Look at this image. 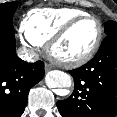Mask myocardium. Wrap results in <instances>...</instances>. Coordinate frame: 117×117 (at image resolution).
Instances as JSON below:
<instances>
[{
	"label": "myocardium",
	"mask_w": 117,
	"mask_h": 117,
	"mask_svg": "<svg viewBox=\"0 0 117 117\" xmlns=\"http://www.w3.org/2000/svg\"><path fill=\"white\" fill-rule=\"evenodd\" d=\"M94 20L98 26V33L94 44L90 50L77 58H64L56 53L58 44L71 32V30L84 20ZM103 39V25L101 21L93 15H82L75 17L63 25L47 42L46 51L50 59L59 66L79 67L89 62L98 52Z\"/></svg>",
	"instance_id": "1"
}]
</instances>
